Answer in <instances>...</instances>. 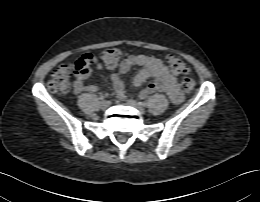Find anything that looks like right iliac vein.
<instances>
[{
  "label": "right iliac vein",
  "instance_id": "right-iliac-vein-1",
  "mask_svg": "<svg viewBox=\"0 0 260 202\" xmlns=\"http://www.w3.org/2000/svg\"><path fill=\"white\" fill-rule=\"evenodd\" d=\"M108 106H109V104H108L107 101H102L100 103V107H101L102 110H106L108 108Z\"/></svg>",
  "mask_w": 260,
  "mask_h": 202
}]
</instances>
